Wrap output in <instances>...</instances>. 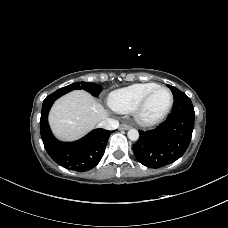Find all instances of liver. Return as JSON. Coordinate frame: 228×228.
Masks as SVG:
<instances>
[{
	"label": "liver",
	"mask_w": 228,
	"mask_h": 228,
	"mask_svg": "<svg viewBox=\"0 0 228 228\" xmlns=\"http://www.w3.org/2000/svg\"><path fill=\"white\" fill-rule=\"evenodd\" d=\"M107 116L108 111L93 96L75 90L54 103L49 124L58 139L73 141L83 137Z\"/></svg>",
	"instance_id": "6515ba94"
}]
</instances>
